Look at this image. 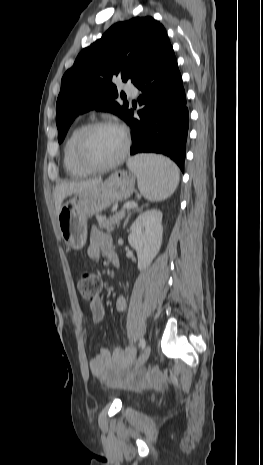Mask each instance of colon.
Returning a JSON list of instances; mask_svg holds the SVG:
<instances>
[{
	"label": "colon",
	"mask_w": 263,
	"mask_h": 465,
	"mask_svg": "<svg viewBox=\"0 0 263 465\" xmlns=\"http://www.w3.org/2000/svg\"><path fill=\"white\" fill-rule=\"evenodd\" d=\"M78 290L82 298L86 301H93L102 288V280L93 273H83L77 283Z\"/></svg>",
	"instance_id": "5ec220e1"
}]
</instances>
